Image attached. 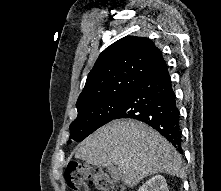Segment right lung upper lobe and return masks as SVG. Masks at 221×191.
I'll list each match as a JSON object with an SVG mask.
<instances>
[{"mask_svg": "<svg viewBox=\"0 0 221 191\" xmlns=\"http://www.w3.org/2000/svg\"><path fill=\"white\" fill-rule=\"evenodd\" d=\"M163 64L160 50L150 39L121 38L100 54L77 100V110L130 92Z\"/></svg>", "mask_w": 221, "mask_h": 191, "instance_id": "cb5924a9", "label": "right lung upper lobe"}]
</instances>
